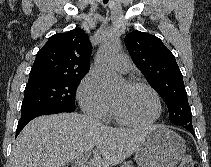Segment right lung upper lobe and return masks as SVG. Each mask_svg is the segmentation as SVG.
Instances as JSON below:
<instances>
[{
    "mask_svg": "<svg viewBox=\"0 0 211 167\" xmlns=\"http://www.w3.org/2000/svg\"><path fill=\"white\" fill-rule=\"evenodd\" d=\"M91 51L89 39L80 28L55 34L38 51L28 81L85 76Z\"/></svg>",
    "mask_w": 211,
    "mask_h": 167,
    "instance_id": "1",
    "label": "right lung upper lobe"
}]
</instances>
